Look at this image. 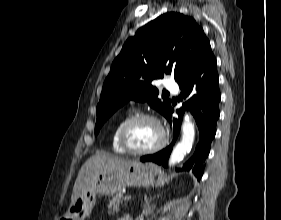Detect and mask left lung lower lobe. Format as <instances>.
Segmentation results:
<instances>
[{"instance_id":"1","label":"left lung lower lobe","mask_w":281,"mask_h":220,"mask_svg":"<svg viewBox=\"0 0 281 220\" xmlns=\"http://www.w3.org/2000/svg\"><path fill=\"white\" fill-rule=\"evenodd\" d=\"M217 62L211 47L193 58L186 74L177 81L181 89V99H187L180 110H177L179 119L172 120L171 107L167 119L172 124L174 138L167 148L154 155L141 157V161H153L167 166L168 157L176 141L181 125V116L186 109L193 114L199 128V143L193 156L183 165L182 170H193L198 180L204 171V162L209 154L211 142L216 133V124L219 118V101L221 98L218 88Z\"/></svg>"}]
</instances>
